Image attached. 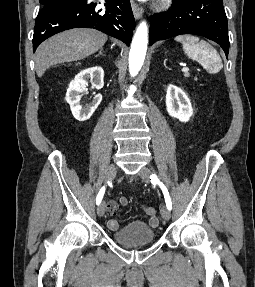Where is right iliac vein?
Wrapping results in <instances>:
<instances>
[{"mask_svg": "<svg viewBox=\"0 0 255 287\" xmlns=\"http://www.w3.org/2000/svg\"><path fill=\"white\" fill-rule=\"evenodd\" d=\"M116 166L115 165H110L108 170H107V174H106V178L107 180H112L114 179V177L116 176ZM105 210H106V203L105 201H102L98 208H97V214L99 217H102L105 213Z\"/></svg>", "mask_w": 255, "mask_h": 287, "instance_id": "63e3f726", "label": "right iliac vein"}]
</instances>
